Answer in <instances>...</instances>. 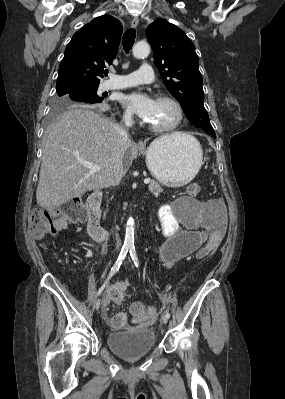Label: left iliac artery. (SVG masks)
Wrapping results in <instances>:
<instances>
[{
	"label": "left iliac artery",
	"instance_id": "44dca946",
	"mask_svg": "<svg viewBox=\"0 0 285 399\" xmlns=\"http://www.w3.org/2000/svg\"><path fill=\"white\" fill-rule=\"evenodd\" d=\"M130 256H131L136 268H139V262H138V258L136 256V252H135V248L134 247H132L130 249ZM165 315H166L167 318H170V313H169L168 310L165 311Z\"/></svg>",
	"mask_w": 285,
	"mask_h": 399
}]
</instances>
